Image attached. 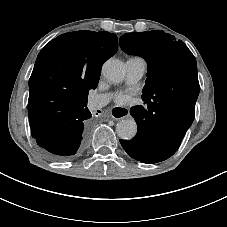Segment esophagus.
I'll use <instances>...</instances> for the list:
<instances>
[{
    "mask_svg": "<svg viewBox=\"0 0 227 227\" xmlns=\"http://www.w3.org/2000/svg\"><path fill=\"white\" fill-rule=\"evenodd\" d=\"M111 115L113 117H119L116 119H122L124 116H131L132 115V110L131 109H122V108H114V110H111Z\"/></svg>",
    "mask_w": 227,
    "mask_h": 227,
    "instance_id": "obj_1",
    "label": "esophagus"
}]
</instances>
